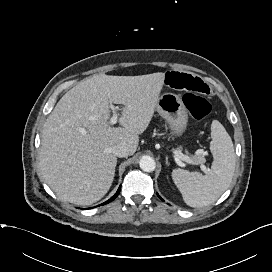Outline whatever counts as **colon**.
<instances>
[{
  "label": "colon",
  "instance_id": "1",
  "mask_svg": "<svg viewBox=\"0 0 272 272\" xmlns=\"http://www.w3.org/2000/svg\"><path fill=\"white\" fill-rule=\"evenodd\" d=\"M183 101L191 116L196 120H203L211 111L210 102L203 96L186 93Z\"/></svg>",
  "mask_w": 272,
  "mask_h": 272
}]
</instances>
